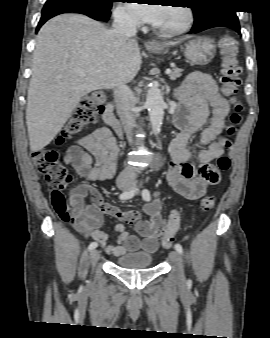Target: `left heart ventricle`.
<instances>
[{
	"label": "left heart ventricle",
	"instance_id": "obj_1",
	"mask_svg": "<svg viewBox=\"0 0 270 338\" xmlns=\"http://www.w3.org/2000/svg\"><path fill=\"white\" fill-rule=\"evenodd\" d=\"M184 22V13L181 8L167 6L163 8L160 18L154 26L160 29H173L179 27Z\"/></svg>",
	"mask_w": 270,
	"mask_h": 338
}]
</instances>
